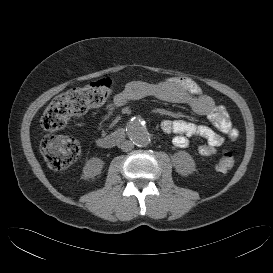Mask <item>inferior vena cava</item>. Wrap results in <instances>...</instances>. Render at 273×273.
Returning a JSON list of instances; mask_svg holds the SVG:
<instances>
[{"label":"inferior vena cava","mask_w":273,"mask_h":273,"mask_svg":"<svg viewBox=\"0 0 273 273\" xmlns=\"http://www.w3.org/2000/svg\"><path fill=\"white\" fill-rule=\"evenodd\" d=\"M120 147H121L122 151L128 152L134 148V144H133V142H131L129 140H125L121 143Z\"/></svg>","instance_id":"obj_1"}]
</instances>
